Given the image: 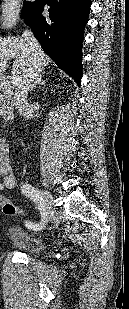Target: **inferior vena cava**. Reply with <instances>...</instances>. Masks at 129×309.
Instances as JSON below:
<instances>
[{
  "label": "inferior vena cava",
  "instance_id": "inferior-vena-cava-1",
  "mask_svg": "<svg viewBox=\"0 0 129 309\" xmlns=\"http://www.w3.org/2000/svg\"><path fill=\"white\" fill-rule=\"evenodd\" d=\"M27 53L29 54V68L23 75L20 86L16 92L17 108L22 116L31 118L32 109L28 101V92L32 87V83L39 77L42 71L41 65V47L34 37L31 30H25L22 34Z\"/></svg>",
  "mask_w": 129,
  "mask_h": 309
}]
</instances>
